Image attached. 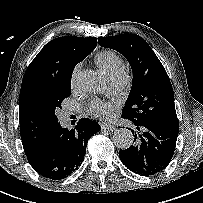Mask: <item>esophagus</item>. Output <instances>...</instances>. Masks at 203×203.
<instances>
[{"instance_id": "esophagus-1", "label": "esophagus", "mask_w": 203, "mask_h": 203, "mask_svg": "<svg viewBox=\"0 0 203 203\" xmlns=\"http://www.w3.org/2000/svg\"><path fill=\"white\" fill-rule=\"evenodd\" d=\"M102 129L115 130V126L111 123L104 122L101 124Z\"/></svg>"}]
</instances>
